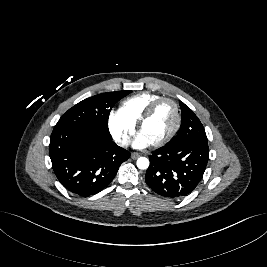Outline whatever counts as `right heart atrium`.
Returning a JSON list of instances; mask_svg holds the SVG:
<instances>
[{"instance_id":"obj_1","label":"right heart atrium","mask_w":267,"mask_h":267,"mask_svg":"<svg viewBox=\"0 0 267 267\" xmlns=\"http://www.w3.org/2000/svg\"><path fill=\"white\" fill-rule=\"evenodd\" d=\"M108 128L114 140L125 145L135 132V124L132 123L121 109H113L108 115Z\"/></svg>"}]
</instances>
